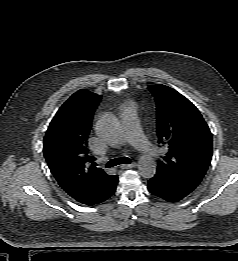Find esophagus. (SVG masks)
<instances>
[{"mask_svg": "<svg viewBox=\"0 0 238 261\" xmlns=\"http://www.w3.org/2000/svg\"><path fill=\"white\" fill-rule=\"evenodd\" d=\"M137 166V163L136 162H133L131 164H123L120 166L121 169H130V168H133V167H136Z\"/></svg>", "mask_w": 238, "mask_h": 261, "instance_id": "34e87169", "label": "esophagus"}]
</instances>
